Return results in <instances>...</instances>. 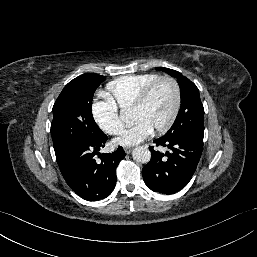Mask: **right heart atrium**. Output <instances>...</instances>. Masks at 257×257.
I'll use <instances>...</instances> for the list:
<instances>
[{
	"instance_id": "d8ad5b80",
	"label": "right heart atrium",
	"mask_w": 257,
	"mask_h": 257,
	"mask_svg": "<svg viewBox=\"0 0 257 257\" xmlns=\"http://www.w3.org/2000/svg\"><path fill=\"white\" fill-rule=\"evenodd\" d=\"M107 103L110 105L111 109L114 111V119L111 123H105V122L101 121L96 114L95 107H93L92 115H93V118H94L95 122L97 123L98 127L103 132H105L109 135H114V134L118 133V131L120 130V126H121L120 120L116 115L118 110H117L116 106L108 99H107Z\"/></svg>"
}]
</instances>
